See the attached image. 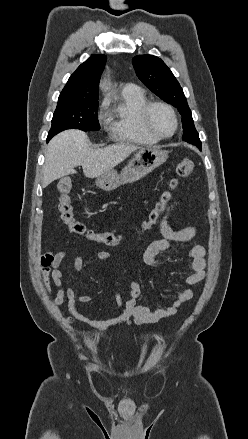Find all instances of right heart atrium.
I'll return each mask as SVG.
<instances>
[{
    "label": "right heart atrium",
    "instance_id": "right-heart-atrium-1",
    "mask_svg": "<svg viewBox=\"0 0 248 439\" xmlns=\"http://www.w3.org/2000/svg\"><path fill=\"white\" fill-rule=\"evenodd\" d=\"M107 117V103L106 101H103L98 110V119L102 125L106 124Z\"/></svg>",
    "mask_w": 248,
    "mask_h": 439
}]
</instances>
